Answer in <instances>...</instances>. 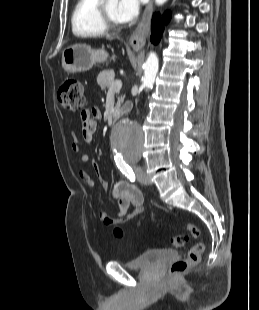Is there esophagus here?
<instances>
[{"label":"esophagus","mask_w":259,"mask_h":310,"mask_svg":"<svg viewBox=\"0 0 259 310\" xmlns=\"http://www.w3.org/2000/svg\"><path fill=\"white\" fill-rule=\"evenodd\" d=\"M152 5L153 2L150 0L144 10L141 21L129 39V44L134 49H141L146 43V38L150 31Z\"/></svg>","instance_id":"1"}]
</instances>
